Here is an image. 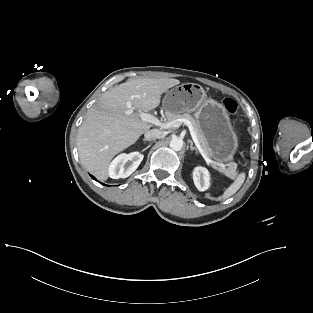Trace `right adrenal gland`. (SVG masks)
<instances>
[{
  "mask_svg": "<svg viewBox=\"0 0 313 313\" xmlns=\"http://www.w3.org/2000/svg\"><path fill=\"white\" fill-rule=\"evenodd\" d=\"M143 141L145 142V141H149V140H147V139H143Z\"/></svg>",
  "mask_w": 313,
  "mask_h": 313,
  "instance_id": "obj_1",
  "label": "right adrenal gland"
}]
</instances>
